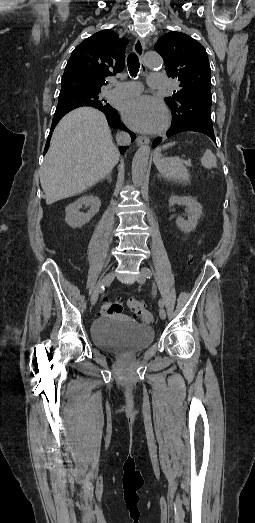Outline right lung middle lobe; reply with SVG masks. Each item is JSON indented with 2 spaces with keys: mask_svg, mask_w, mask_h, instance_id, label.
Segmentation results:
<instances>
[{
  "mask_svg": "<svg viewBox=\"0 0 255 523\" xmlns=\"http://www.w3.org/2000/svg\"><path fill=\"white\" fill-rule=\"evenodd\" d=\"M100 93L101 92L61 90L58 102H75L77 105H80L82 102L98 100Z\"/></svg>",
  "mask_w": 255,
  "mask_h": 523,
  "instance_id": "obj_1",
  "label": "right lung middle lobe"
}]
</instances>
